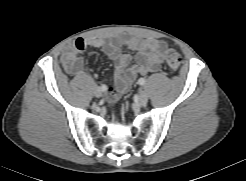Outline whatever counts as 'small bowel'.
<instances>
[{
  "label": "small bowel",
  "instance_id": "1",
  "mask_svg": "<svg viewBox=\"0 0 246 181\" xmlns=\"http://www.w3.org/2000/svg\"><path fill=\"white\" fill-rule=\"evenodd\" d=\"M87 47L102 50L114 62V86L108 88L105 85L111 100H117L126 93L137 76L159 71L167 52L164 41L152 38L140 39L126 35H117L110 40L78 38L62 53V65L67 73L74 76L82 75L84 52ZM124 47L135 52L134 64L130 65L133 57Z\"/></svg>",
  "mask_w": 246,
  "mask_h": 181
}]
</instances>
